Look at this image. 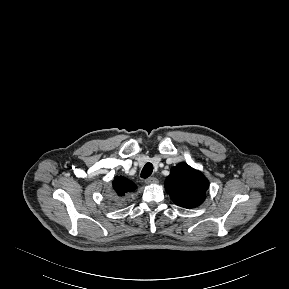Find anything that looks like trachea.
<instances>
[{
  "label": "trachea",
  "instance_id": "trachea-1",
  "mask_svg": "<svg viewBox=\"0 0 289 289\" xmlns=\"http://www.w3.org/2000/svg\"><path fill=\"white\" fill-rule=\"evenodd\" d=\"M153 172V165L151 163H146L141 171L142 178H148Z\"/></svg>",
  "mask_w": 289,
  "mask_h": 289
}]
</instances>
